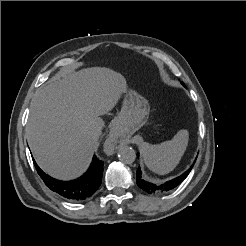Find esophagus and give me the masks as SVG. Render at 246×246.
<instances>
[{
  "mask_svg": "<svg viewBox=\"0 0 246 246\" xmlns=\"http://www.w3.org/2000/svg\"><path fill=\"white\" fill-rule=\"evenodd\" d=\"M116 143V129L112 128L109 138L105 142V147L107 150H112Z\"/></svg>",
  "mask_w": 246,
  "mask_h": 246,
  "instance_id": "obj_1",
  "label": "esophagus"
}]
</instances>
